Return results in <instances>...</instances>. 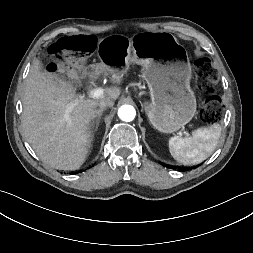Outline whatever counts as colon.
Returning <instances> with one entry per match:
<instances>
[{
    "mask_svg": "<svg viewBox=\"0 0 253 253\" xmlns=\"http://www.w3.org/2000/svg\"><path fill=\"white\" fill-rule=\"evenodd\" d=\"M95 48V40L91 36H72L63 38L54 47L57 60L64 68L80 65ZM52 69L58 68V63L50 65ZM198 86L207 94L201 110V117L207 123L219 121L223 114V106L219 96L215 93L218 75L212 71L207 58H200L195 62Z\"/></svg>",
    "mask_w": 253,
    "mask_h": 253,
    "instance_id": "colon-1",
    "label": "colon"
}]
</instances>
